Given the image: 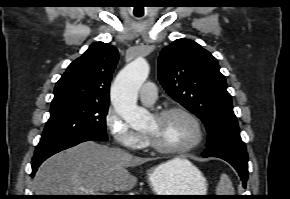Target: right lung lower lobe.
<instances>
[{
  "label": "right lung lower lobe",
  "mask_w": 290,
  "mask_h": 199,
  "mask_svg": "<svg viewBox=\"0 0 290 199\" xmlns=\"http://www.w3.org/2000/svg\"><path fill=\"white\" fill-rule=\"evenodd\" d=\"M88 140H97V141H105L99 138L95 137H80V138H75L71 140H65V141H59L56 143H51V144H43V145H37L35 154L32 159V173L31 177H34L35 172L37 171L38 167L40 164L46 160L48 157L62 151L65 149H68L70 147H73L81 142H85Z\"/></svg>",
  "instance_id": "right-lung-lower-lobe-1"
}]
</instances>
